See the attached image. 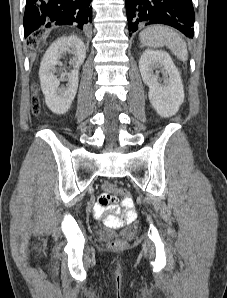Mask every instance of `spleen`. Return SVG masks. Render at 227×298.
Listing matches in <instances>:
<instances>
[{
    "label": "spleen",
    "instance_id": "obj_1",
    "mask_svg": "<svg viewBox=\"0 0 227 298\" xmlns=\"http://www.w3.org/2000/svg\"><path fill=\"white\" fill-rule=\"evenodd\" d=\"M140 42L150 48L168 47L178 59H188L187 45L184 39L173 29L162 26H150L139 34Z\"/></svg>",
    "mask_w": 227,
    "mask_h": 298
}]
</instances>
